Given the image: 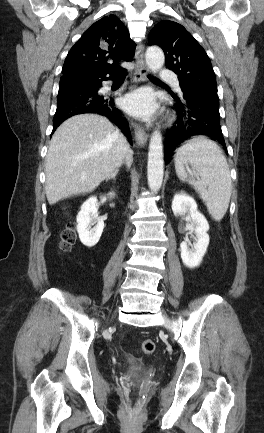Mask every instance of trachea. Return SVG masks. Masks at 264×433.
Returning a JSON list of instances; mask_svg holds the SVG:
<instances>
[{
  "label": "trachea",
  "mask_w": 264,
  "mask_h": 433,
  "mask_svg": "<svg viewBox=\"0 0 264 433\" xmlns=\"http://www.w3.org/2000/svg\"><path fill=\"white\" fill-rule=\"evenodd\" d=\"M149 79L154 80V81H160L159 79H156L153 76H149Z\"/></svg>",
  "instance_id": "3493384b"
}]
</instances>
